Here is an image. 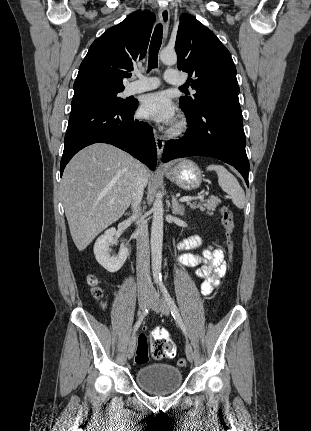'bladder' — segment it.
Listing matches in <instances>:
<instances>
[{"label":"bladder","mask_w":311,"mask_h":431,"mask_svg":"<svg viewBox=\"0 0 311 431\" xmlns=\"http://www.w3.org/2000/svg\"><path fill=\"white\" fill-rule=\"evenodd\" d=\"M135 377L142 389L154 395L173 393L181 387L183 381L181 369L167 363L143 365L136 371Z\"/></svg>","instance_id":"obj_1"}]
</instances>
